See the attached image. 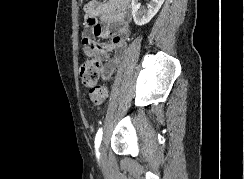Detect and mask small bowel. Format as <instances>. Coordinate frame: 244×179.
<instances>
[{
	"instance_id": "1",
	"label": "small bowel",
	"mask_w": 244,
	"mask_h": 179,
	"mask_svg": "<svg viewBox=\"0 0 244 179\" xmlns=\"http://www.w3.org/2000/svg\"><path fill=\"white\" fill-rule=\"evenodd\" d=\"M84 12L83 52L101 63L102 79L109 80L125 57L132 19L129 3L121 0L90 1Z\"/></svg>"
}]
</instances>
